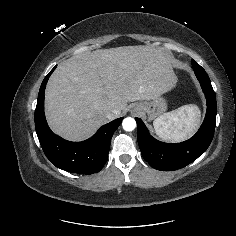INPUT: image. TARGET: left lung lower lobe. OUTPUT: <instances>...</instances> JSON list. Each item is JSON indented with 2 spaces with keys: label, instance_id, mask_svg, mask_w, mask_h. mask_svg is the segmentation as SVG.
I'll list each match as a JSON object with an SVG mask.
<instances>
[{
  "label": "left lung lower lobe",
  "instance_id": "left-lung-lower-lobe-1",
  "mask_svg": "<svg viewBox=\"0 0 236 236\" xmlns=\"http://www.w3.org/2000/svg\"><path fill=\"white\" fill-rule=\"evenodd\" d=\"M207 100V112L198 132L189 140L170 144L153 138L141 119L137 122V140L144 159L155 169L173 171L201 156L209 147L215 130L217 104L215 92L205 71H195Z\"/></svg>",
  "mask_w": 236,
  "mask_h": 236
}]
</instances>
